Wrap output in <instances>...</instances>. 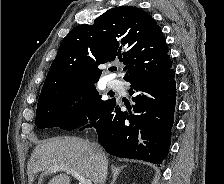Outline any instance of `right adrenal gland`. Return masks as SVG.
I'll return each mask as SVG.
<instances>
[{"instance_id": "2a0ac1e0", "label": "right adrenal gland", "mask_w": 224, "mask_h": 184, "mask_svg": "<svg viewBox=\"0 0 224 184\" xmlns=\"http://www.w3.org/2000/svg\"><path fill=\"white\" fill-rule=\"evenodd\" d=\"M125 167H126V165L121 166V167H116L114 164H112L111 170H112V173H113V178H112L111 184L115 183V181H116L117 177L119 176L121 170L124 169Z\"/></svg>"}]
</instances>
